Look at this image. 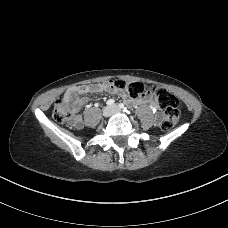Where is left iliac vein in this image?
Here are the masks:
<instances>
[{"mask_svg":"<svg viewBox=\"0 0 228 228\" xmlns=\"http://www.w3.org/2000/svg\"><path fill=\"white\" fill-rule=\"evenodd\" d=\"M112 110L114 113H117L120 111L119 107L117 105L112 106Z\"/></svg>","mask_w":228,"mask_h":228,"instance_id":"left-iliac-vein-1","label":"left iliac vein"}]
</instances>
